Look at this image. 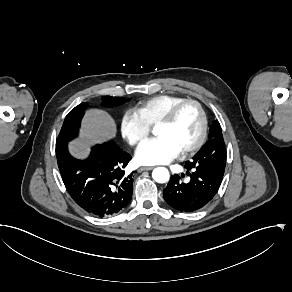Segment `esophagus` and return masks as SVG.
Instances as JSON below:
<instances>
[{
    "mask_svg": "<svg viewBox=\"0 0 292 292\" xmlns=\"http://www.w3.org/2000/svg\"><path fill=\"white\" fill-rule=\"evenodd\" d=\"M154 167H140L138 169V172H142V171H148V170H153Z\"/></svg>",
    "mask_w": 292,
    "mask_h": 292,
    "instance_id": "esophagus-1",
    "label": "esophagus"
}]
</instances>
